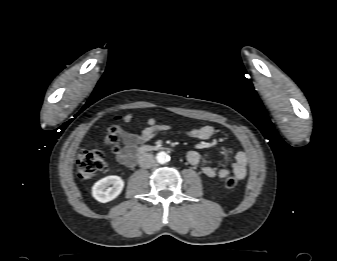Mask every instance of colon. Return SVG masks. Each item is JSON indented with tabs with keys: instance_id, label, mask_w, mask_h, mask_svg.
Segmentation results:
<instances>
[{
	"instance_id": "5ec220e1",
	"label": "colon",
	"mask_w": 337,
	"mask_h": 261,
	"mask_svg": "<svg viewBox=\"0 0 337 261\" xmlns=\"http://www.w3.org/2000/svg\"><path fill=\"white\" fill-rule=\"evenodd\" d=\"M105 141L110 149L117 153L119 148V137L115 125L108 128ZM77 175L80 179H89L101 171L104 167L103 155L96 150H81L78 154L77 161ZM227 188L233 189L237 186L238 181L233 176H228L225 181Z\"/></svg>"
}]
</instances>
